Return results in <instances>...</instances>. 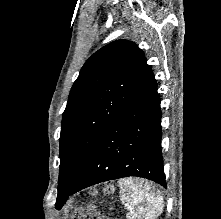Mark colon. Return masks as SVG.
I'll return each instance as SVG.
<instances>
[{
    "label": "colon",
    "mask_w": 221,
    "mask_h": 219,
    "mask_svg": "<svg viewBox=\"0 0 221 219\" xmlns=\"http://www.w3.org/2000/svg\"><path fill=\"white\" fill-rule=\"evenodd\" d=\"M71 219H109L102 215L94 206L78 208L74 211Z\"/></svg>",
    "instance_id": "obj_1"
}]
</instances>
